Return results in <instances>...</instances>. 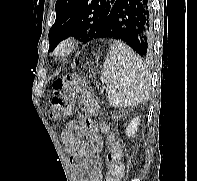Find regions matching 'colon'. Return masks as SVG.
I'll return each mask as SVG.
<instances>
[{
    "label": "colon",
    "mask_w": 197,
    "mask_h": 181,
    "mask_svg": "<svg viewBox=\"0 0 197 181\" xmlns=\"http://www.w3.org/2000/svg\"><path fill=\"white\" fill-rule=\"evenodd\" d=\"M74 101L79 102L80 108L87 115L95 116L98 113L97 102L77 75L56 79L52 83V99L49 107L51 118L57 119L71 115ZM120 157L119 145L111 140L107 153L108 172L105 181H121L123 166L119 161Z\"/></svg>",
    "instance_id": "obj_1"
}]
</instances>
